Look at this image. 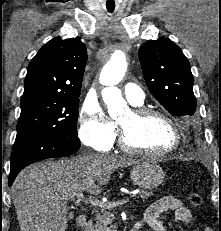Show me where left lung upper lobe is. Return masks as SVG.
Segmentation results:
<instances>
[{
    "mask_svg": "<svg viewBox=\"0 0 221 231\" xmlns=\"http://www.w3.org/2000/svg\"><path fill=\"white\" fill-rule=\"evenodd\" d=\"M146 84L157 101L173 116L187 118L196 110L194 79L188 59L169 39L149 40L139 48Z\"/></svg>",
    "mask_w": 221,
    "mask_h": 231,
    "instance_id": "1",
    "label": "left lung upper lobe"
}]
</instances>
